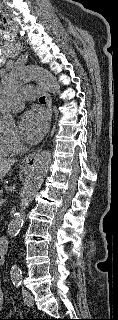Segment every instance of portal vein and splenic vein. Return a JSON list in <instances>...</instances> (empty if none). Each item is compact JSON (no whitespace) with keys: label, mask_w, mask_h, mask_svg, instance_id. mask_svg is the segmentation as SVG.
Instances as JSON below:
<instances>
[{"label":"portal vein and splenic vein","mask_w":118,"mask_h":320,"mask_svg":"<svg viewBox=\"0 0 118 320\" xmlns=\"http://www.w3.org/2000/svg\"><path fill=\"white\" fill-rule=\"evenodd\" d=\"M3 194V190H0V195H2Z\"/></svg>","instance_id":"1"}]
</instances>
